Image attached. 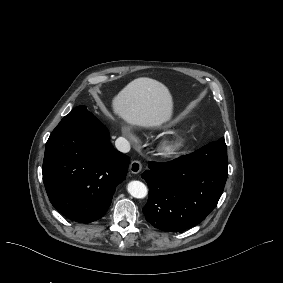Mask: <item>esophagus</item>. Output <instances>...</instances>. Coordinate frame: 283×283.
Listing matches in <instances>:
<instances>
[{
  "label": "esophagus",
  "instance_id": "obj_1",
  "mask_svg": "<svg viewBox=\"0 0 283 283\" xmlns=\"http://www.w3.org/2000/svg\"><path fill=\"white\" fill-rule=\"evenodd\" d=\"M141 170H142V164H141L140 161L134 160V161L131 162V164H130V171H131L133 174H137V173H139Z\"/></svg>",
  "mask_w": 283,
  "mask_h": 283
}]
</instances>
